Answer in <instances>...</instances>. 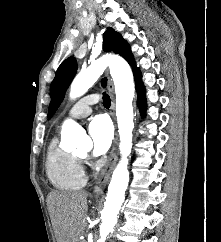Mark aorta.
<instances>
[{
	"label": "aorta",
	"instance_id": "obj_1",
	"mask_svg": "<svg viewBox=\"0 0 221 242\" xmlns=\"http://www.w3.org/2000/svg\"><path fill=\"white\" fill-rule=\"evenodd\" d=\"M109 67L116 93V116L120 135L121 160L113 171L104 208L100 237L97 242H105L117 223L119 210L125 199V191L129 183L128 156L132 149L133 106L135 94L133 73L129 64L121 57L103 56L93 62L87 69L81 71L73 80L70 87V98L75 100L84 95ZM62 137L71 149L89 150L91 139L76 122L68 120L62 128Z\"/></svg>",
	"mask_w": 221,
	"mask_h": 242
}]
</instances>
